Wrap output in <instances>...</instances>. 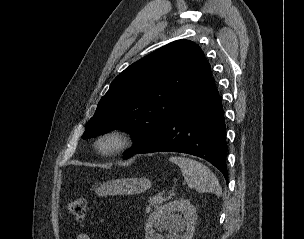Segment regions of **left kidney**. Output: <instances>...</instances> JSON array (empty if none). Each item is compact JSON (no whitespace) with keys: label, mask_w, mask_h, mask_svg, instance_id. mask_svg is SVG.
I'll return each mask as SVG.
<instances>
[{"label":"left kidney","mask_w":304,"mask_h":239,"mask_svg":"<svg viewBox=\"0 0 304 239\" xmlns=\"http://www.w3.org/2000/svg\"><path fill=\"white\" fill-rule=\"evenodd\" d=\"M196 219V208L189 200L169 202L150 214L145 227V239H162V236L155 234L153 230V227L159 226L169 231L168 239H192ZM180 232H183V235H180Z\"/></svg>","instance_id":"5707ae66"}]
</instances>
